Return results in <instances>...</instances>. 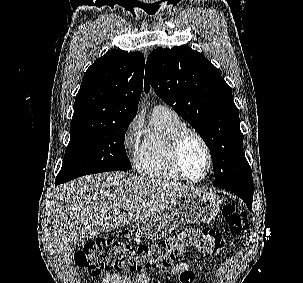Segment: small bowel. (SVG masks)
<instances>
[{"instance_id":"obj_1","label":"small bowel","mask_w":303,"mask_h":283,"mask_svg":"<svg viewBox=\"0 0 303 283\" xmlns=\"http://www.w3.org/2000/svg\"><path fill=\"white\" fill-rule=\"evenodd\" d=\"M190 270L187 263H179L171 270L172 276L179 275L184 271ZM137 283H156L157 278L150 277L145 273H137L135 276ZM101 283H131L130 277L125 273H106Z\"/></svg>"}]
</instances>
